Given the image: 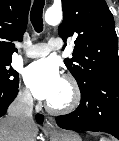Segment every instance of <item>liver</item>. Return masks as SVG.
<instances>
[{
    "instance_id": "6515ba94",
    "label": "liver",
    "mask_w": 119,
    "mask_h": 141,
    "mask_svg": "<svg viewBox=\"0 0 119 141\" xmlns=\"http://www.w3.org/2000/svg\"><path fill=\"white\" fill-rule=\"evenodd\" d=\"M36 135L35 124L28 131H21L12 118H0V141H34Z\"/></svg>"
}]
</instances>
